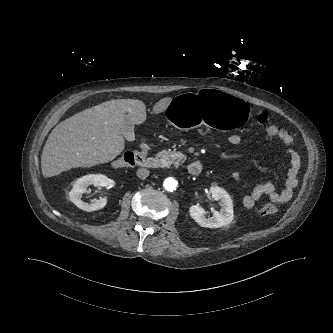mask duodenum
<instances>
[{"label":"duodenum","instance_id":"obj_1","mask_svg":"<svg viewBox=\"0 0 333 333\" xmlns=\"http://www.w3.org/2000/svg\"><path fill=\"white\" fill-rule=\"evenodd\" d=\"M162 161L155 157H149L141 162V166L146 169H158L162 166ZM202 172V164L195 160L189 163L188 173L192 176H198Z\"/></svg>","mask_w":333,"mask_h":333}]
</instances>
